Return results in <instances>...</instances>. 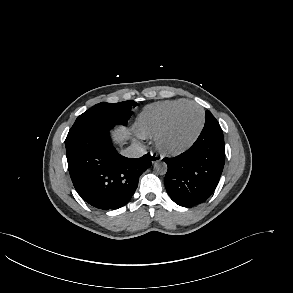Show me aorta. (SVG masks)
Returning <instances> with one entry per match:
<instances>
[{
    "label": "aorta",
    "mask_w": 293,
    "mask_h": 293,
    "mask_svg": "<svg viewBox=\"0 0 293 293\" xmlns=\"http://www.w3.org/2000/svg\"><path fill=\"white\" fill-rule=\"evenodd\" d=\"M154 171L159 175H164L167 172V164L165 162L157 161L154 164Z\"/></svg>",
    "instance_id": "obj_1"
}]
</instances>
